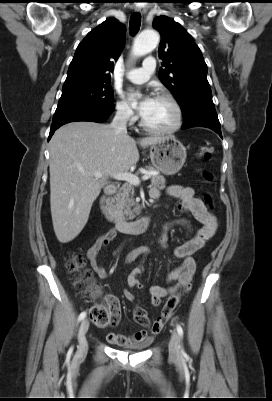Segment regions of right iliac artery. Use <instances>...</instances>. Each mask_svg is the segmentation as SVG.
<instances>
[{"label":"right iliac artery","mask_w":272,"mask_h":401,"mask_svg":"<svg viewBox=\"0 0 272 401\" xmlns=\"http://www.w3.org/2000/svg\"><path fill=\"white\" fill-rule=\"evenodd\" d=\"M85 317H86V312L83 311V312L80 313V315H79V317H78V320L81 321V320H83Z\"/></svg>","instance_id":"obj_1"}]
</instances>
